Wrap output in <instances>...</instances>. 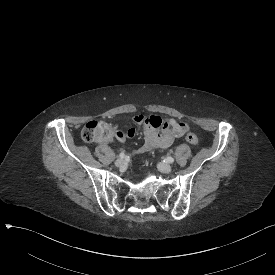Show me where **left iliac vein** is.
<instances>
[{"label": "left iliac vein", "mask_w": 275, "mask_h": 275, "mask_svg": "<svg viewBox=\"0 0 275 275\" xmlns=\"http://www.w3.org/2000/svg\"><path fill=\"white\" fill-rule=\"evenodd\" d=\"M158 168L162 173H170L172 170V167L166 163H160Z\"/></svg>", "instance_id": "4c4485c4"}]
</instances>
